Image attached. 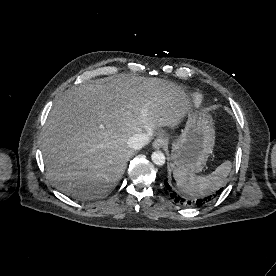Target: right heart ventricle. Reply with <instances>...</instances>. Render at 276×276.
Listing matches in <instances>:
<instances>
[{
	"label": "right heart ventricle",
	"instance_id": "e07e8e85",
	"mask_svg": "<svg viewBox=\"0 0 276 276\" xmlns=\"http://www.w3.org/2000/svg\"><path fill=\"white\" fill-rule=\"evenodd\" d=\"M196 101H197V102H200V99H199V98H197V99H196Z\"/></svg>",
	"mask_w": 276,
	"mask_h": 276
}]
</instances>
